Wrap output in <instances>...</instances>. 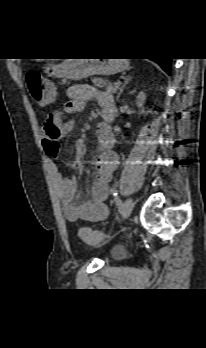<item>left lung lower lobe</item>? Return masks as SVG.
<instances>
[{
  "instance_id": "0a47b994",
  "label": "left lung lower lobe",
  "mask_w": 206,
  "mask_h": 348,
  "mask_svg": "<svg viewBox=\"0 0 206 348\" xmlns=\"http://www.w3.org/2000/svg\"><path fill=\"white\" fill-rule=\"evenodd\" d=\"M152 60L157 62L167 74L169 75L171 74L172 58H159V59H152Z\"/></svg>"
}]
</instances>
